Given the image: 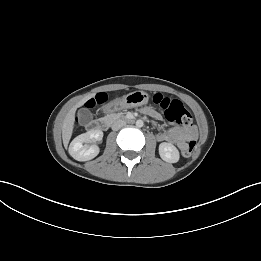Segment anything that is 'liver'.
<instances>
[{
	"label": "liver",
	"instance_id": "liver-1",
	"mask_svg": "<svg viewBox=\"0 0 261 261\" xmlns=\"http://www.w3.org/2000/svg\"><path fill=\"white\" fill-rule=\"evenodd\" d=\"M93 94L87 95L82 100H80L76 105H74L69 112L66 114L62 125V139L65 147L68 146L70 138L72 136L74 122H75V112L77 108L81 107Z\"/></svg>",
	"mask_w": 261,
	"mask_h": 261
}]
</instances>
